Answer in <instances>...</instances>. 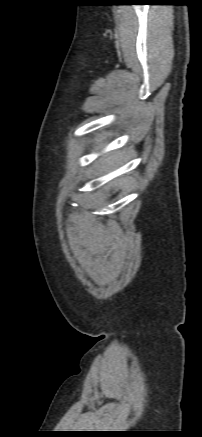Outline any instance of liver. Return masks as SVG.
Returning <instances> with one entry per match:
<instances>
[{"label": "liver", "instance_id": "1", "mask_svg": "<svg viewBox=\"0 0 202 437\" xmlns=\"http://www.w3.org/2000/svg\"><path fill=\"white\" fill-rule=\"evenodd\" d=\"M123 153L120 151H113L107 154H104L101 157V165L106 168L107 171H110L115 167V164L122 158Z\"/></svg>", "mask_w": 202, "mask_h": 437}]
</instances>
